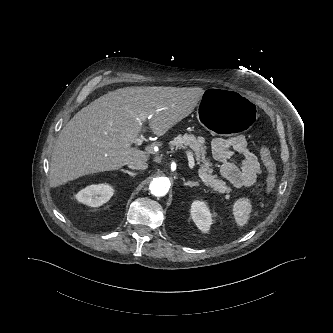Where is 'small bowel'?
<instances>
[{
	"label": "small bowel",
	"mask_w": 333,
	"mask_h": 333,
	"mask_svg": "<svg viewBox=\"0 0 333 333\" xmlns=\"http://www.w3.org/2000/svg\"><path fill=\"white\" fill-rule=\"evenodd\" d=\"M212 155L219 162L222 177L237 189L253 187L262 173L263 160L249 150L244 136L216 138Z\"/></svg>",
	"instance_id": "obj_1"
}]
</instances>
